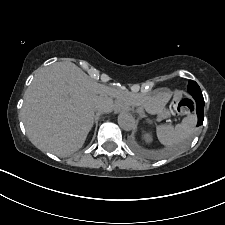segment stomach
Returning a JSON list of instances; mask_svg holds the SVG:
<instances>
[{"label": "stomach", "mask_w": 225, "mask_h": 225, "mask_svg": "<svg viewBox=\"0 0 225 225\" xmlns=\"http://www.w3.org/2000/svg\"><path fill=\"white\" fill-rule=\"evenodd\" d=\"M167 101H168L167 95L157 96V97L147 100L144 107L150 113L163 114L165 111L164 107H165Z\"/></svg>", "instance_id": "1"}]
</instances>
